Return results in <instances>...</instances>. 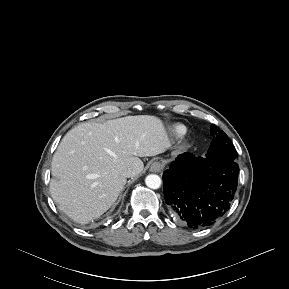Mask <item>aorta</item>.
Returning <instances> with one entry per match:
<instances>
[{
	"instance_id": "obj_1",
	"label": "aorta",
	"mask_w": 289,
	"mask_h": 289,
	"mask_svg": "<svg viewBox=\"0 0 289 289\" xmlns=\"http://www.w3.org/2000/svg\"><path fill=\"white\" fill-rule=\"evenodd\" d=\"M161 178L156 174H150L145 179V184L151 189H158L161 186Z\"/></svg>"
}]
</instances>
